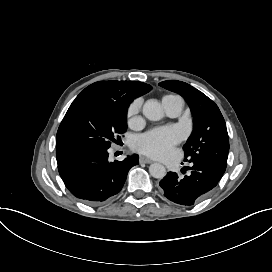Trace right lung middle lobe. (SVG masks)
I'll return each mask as SVG.
<instances>
[{
  "mask_svg": "<svg viewBox=\"0 0 272 272\" xmlns=\"http://www.w3.org/2000/svg\"><path fill=\"white\" fill-rule=\"evenodd\" d=\"M127 106L100 100L72 103L56 136V150L108 149L127 130Z\"/></svg>",
  "mask_w": 272,
  "mask_h": 272,
  "instance_id": "obj_1",
  "label": "right lung middle lobe"
}]
</instances>
